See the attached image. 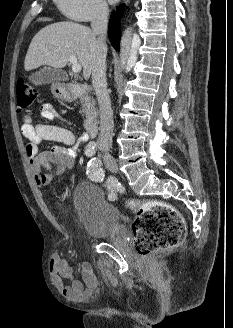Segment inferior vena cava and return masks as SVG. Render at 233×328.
<instances>
[{"label":"inferior vena cava","instance_id":"1","mask_svg":"<svg viewBox=\"0 0 233 328\" xmlns=\"http://www.w3.org/2000/svg\"><path fill=\"white\" fill-rule=\"evenodd\" d=\"M109 8L105 1L98 0L93 8L91 27L98 35V43L106 48V35ZM92 85L95 89L100 112V133L97 144L101 151L107 153L112 146L113 136V110L107 92L106 81V54L99 52L92 66Z\"/></svg>","mask_w":233,"mask_h":328}]
</instances>
